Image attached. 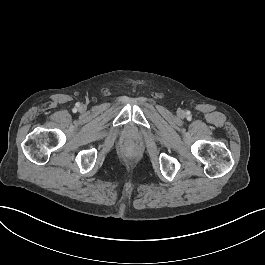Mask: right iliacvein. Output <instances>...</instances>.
<instances>
[{"label": "right iliac vein", "mask_w": 265, "mask_h": 265, "mask_svg": "<svg viewBox=\"0 0 265 265\" xmlns=\"http://www.w3.org/2000/svg\"><path fill=\"white\" fill-rule=\"evenodd\" d=\"M81 109H82V110H85V108H84L83 106L81 107Z\"/></svg>", "instance_id": "1"}]
</instances>
